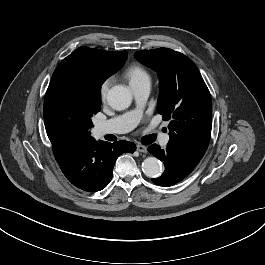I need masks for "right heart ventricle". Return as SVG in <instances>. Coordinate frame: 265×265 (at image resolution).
Returning a JSON list of instances; mask_svg holds the SVG:
<instances>
[{
    "mask_svg": "<svg viewBox=\"0 0 265 265\" xmlns=\"http://www.w3.org/2000/svg\"><path fill=\"white\" fill-rule=\"evenodd\" d=\"M124 75L128 79L130 85L137 84L145 80H150V75L147 70L139 65L129 66L125 70Z\"/></svg>",
    "mask_w": 265,
    "mask_h": 265,
    "instance_id": "e07e8e85",
    "label": "right heart ventricle"
}]
</instances>
